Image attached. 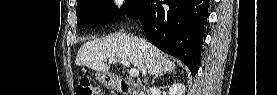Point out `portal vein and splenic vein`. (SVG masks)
I'll list each match as a JSON object with an SVG mask.
<instances>
[{
    "mask_svg": "<svg viewBox=\"0 0 277 95\" xmlns=\"http://www.w3.org/2000/svg\"><path fill=\"white\" fill-rule=\"evenodd\" d=\"M117 62H121L124 66L129 67L130 66V62L128 60H117V59H109V63H117ZM129 75L131 77H137L139 75V71L136 68H132L129 71Z\"/></svg>",
    "mask_w": 277,
    "mask_h": 95,
    "instance_id": "portal-vein-and-splenic-vein-1",
    "label": "portal vein and splenic vein"
}]
</instances>
